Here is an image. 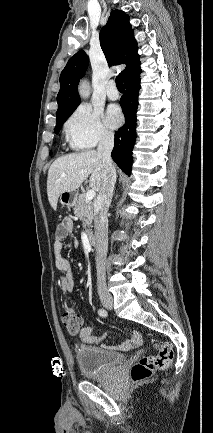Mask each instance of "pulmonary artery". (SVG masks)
<instances>
[{
    "instance_id": "pulmonary-artery-1",
    "label": "pulmonary artery",
    "mask_w": 213,
    "mask_h": 433,
    "mask_svg": "<svg viewBox=\"0 0 213 433\" xmlns=\"http://www.w3.org/2000/svg\"><path fill=\"white\" fill-rule=\"evenodd\" d=\"M106 95L111 100H116L119 97V92L114 81H109L106 87Z\"/></svg>"
}]
</instances>
